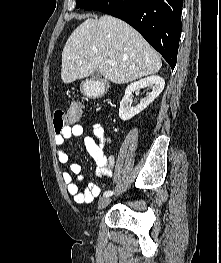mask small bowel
Returning a JSON list of instances; mask_svg holds the SVG:
<instances>
[{
	"instance_id": "1",
	"label": "small bowel",
	"mask_w": 221,
	"mask_h": 263,
	"mask_svg": "<svg viewBox=\"0 0 221 263\" xmlns=\"http://www.w3.org/2000/svg\"><path fill=\"white\" fill-rule=\"evenodd\" d=\"M84 133L83 126L75 124L64 129L61 134L55 135L54 142L58 147L56 155L61 164H69L70 172L62 173V180L66 186L67 193L73 197L76 204H91L100 194V188L95 183H89L84 190H80L75 183L73 176L78 181L84 179L82 166L79 163H70L68 154L61 148L67 140L73 137H82ZM92 134L98 139L96 141L91 136L83 137V144L96 163V174L101 178H111L115 167V157L107 155L106 151L111 143V139L106 136L104 128L99 123L92 125Z\"/></svg>"
}]
</instances>
